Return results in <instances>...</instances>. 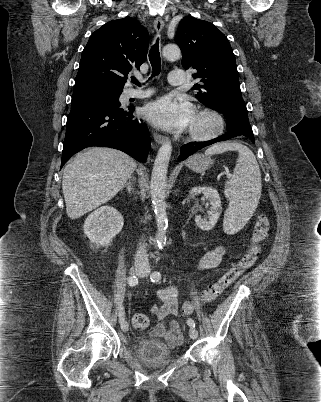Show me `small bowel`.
I'll return each mask as SVG.
<instances>
[{
    "label": "small bowel",
    "mask_w": 321,
    "mask_h": 402,
    "mask_svg": "<svg viewBox=\"0 0 321 402\" xmlns=\"http://www.w3.org/2000/svg\"><path fill=\"white\" fill-rule=\"evenodd\" d=\"M225 255V248L221 245L206 252L198 260V268L210 270L220 265ZM160 305L153 306L151 311L158 322L152 327L154 337H160L168 344L175 346L182 340L180 325L172 320L168 324L166 319L169 316L178 315L179 301L178 289L175 286L161 288L157 292Z\"/></svg>",
    "instance_id": "c3829d8e"
}]
</instances>
